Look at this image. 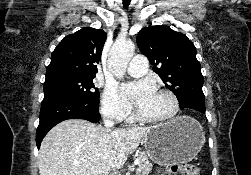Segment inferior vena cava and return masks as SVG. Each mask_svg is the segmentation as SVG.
I'll use <instances>...</instances> for the list:
<instances>
[{
  "label": "inferior vena cava",
  "mask_w": 251,
  "mask_h": 175,
  "mask_svg": "<svg viewBox=\"0 0 251 175\" xmlns=\"http://www.w3.org/2000/svg\"><path fill=\"white\" fill-rule=\"evenodd\" d=\"M104 125L105 127H113L114 125L113 119H107V117H104Z\"/></svg>",
  "instance_id": "inferior-vena-cava-1"
}]
</instances>
